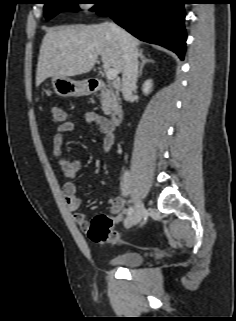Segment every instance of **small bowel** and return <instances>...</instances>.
Wrapping results in <instances>:
<instances>
[{
  "label": "small bowel",
  "instance_id": "c3829d8e",
  "mask_svg": "<svg viewBox=\"0 0 236 321\" xmlns=\"http://www.w3.org/2000/svg\"><path fill=\"white\" fill-rule=\"evenodd\" d=\"M84 122L86 124L95 125L104 135L103 152L109 151L115 141V126L106 117H103L95 112H88L84 115ZM74 123L67 121L60 125L52 137V154L60 167L62 173L67 178H73L81 169V162L79 160H71L64 156L62 148L68 133L74 130ZM127 191L124 187L120 196L110 199V209L115 215L116 222L122 219L124 213L125 195ZM62 194L69 211L74 212V220L77 225L86 230L88 221L83 213L77 212L82 203V198L77 193L76 185L71 182H65L62 187Z\"/></svg>",
  "mask_w": 236,
  "mask_h": 321
}]
</instances>
